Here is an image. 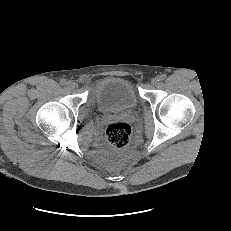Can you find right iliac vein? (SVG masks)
I'll use <instances>...</instances> for the list:
<instances>
[{"instance_id": "1", "label": "right iliac vein", "mask_w": 231, "mask_h": 231, "mask_svg": "<svg viewBox=\"0 0 231 231\" xmlns=\"http://www.w3.org/2000/svg\"><path fill=\"white\" fill-rule=\"evenodd\" d=\"M67 87H68V89L72 90V89H74L76 87V84L73 81H68L67 82Z\"/></svg>"}]
</instances>
